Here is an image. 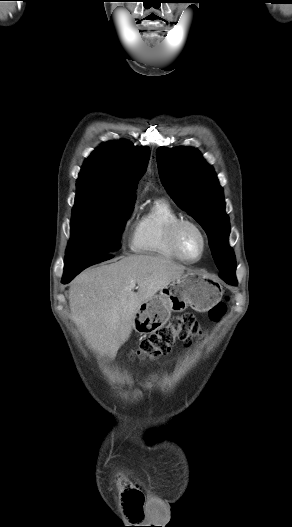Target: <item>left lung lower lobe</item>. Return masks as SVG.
I'll use <instances>...</instances> for the list:
<instances>
[{
    "instance_id": "obj_1",
    "label": "left lung lower lobe",
    "mask_w": 292,
    "mask_h": 527,
    "mask_svg": "<svg viewBox=\"0 0 292 527\" xmlns=\"http://www.w3.org/2000/svg\"><path fill=\"white\" fill-rule=\"evenodd\" d=\"M220 278H222L224 281H226L228 284L236 285L237 280L235 276H225L220 274Z\"/></svg>"
}]
</instances>
